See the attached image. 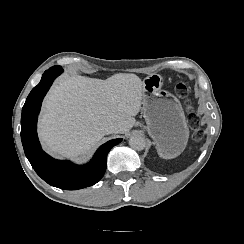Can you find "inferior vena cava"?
<instances>
[{"label":"inferior vena cava","instance_id":"inferior-vena-cava-1","mask_svg":"<svg viewBox=\"0 0 244 244\" xmlns=\"http://www.w3.org/2000/svg\"><path fill=\"white\" fill-rule=\"evenodd\" d=\"M117 130H118V126L115 123L106 124L104 126V131L107 134H109V133H116Z\"/></svg>","mask_w":244,"mask_h":244}]
</instances>
